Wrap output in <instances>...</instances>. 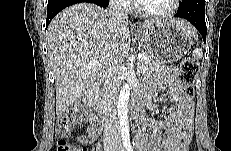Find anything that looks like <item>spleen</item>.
Masks as SVG:
<instances>
[{
  "mask_svg": "<svg viewBox=\"0 0 231 151\" xmlns=\"http://www.w3.org/2000/svg\"><path fill=\"white\" fill-rule=\"evenodd\" d=\"M193 56H194V58L197 59V60L201 59L202 56H203L202 50L199 49V48H196V49L193 51Z\"/></svg>",
  "mask_w": 231,
  "mask_h": 151,
  "instance_id": "1",
  "label": "spleen"
}]
</instances>
